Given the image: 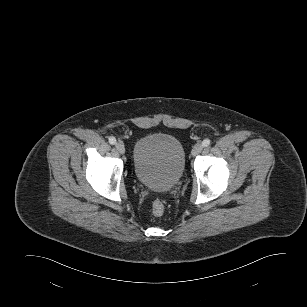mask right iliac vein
I'll use <instances>...</instances> for the list:
<instances>
[{"mask_svg":"<svg viewBox=\"0 0 307 307\" xmlns=\"http://www.w3.org/2000/svg\"><path fill=\"white\" fill-rule=\"evenodd\" d=\"M115 147L117 149V151L120 153V154H124L125 153V147H124V144L122 142H117L115 144Z\"/></svg>","mask_w":307,"mask_h":307,"instance_id":"right-iliac-vein-1","label":"right iliac vein"}]
</instances>
